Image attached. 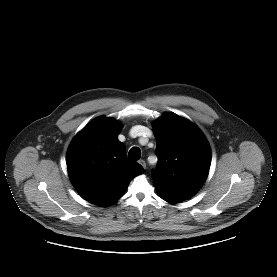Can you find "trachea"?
I'll return each mask as SVG.
<instances>
[{
    "label": "trachea",
    "instance_id": "trachea-1",
    "mask_svg": "<svg viewBox=\"0 0 277 277\" xmlns=\"http://www.w3.org/2000/svg\"><path fill=\"white\" fill-rule=\"evenodd\" d=\"M128 157L131 160H138L141 157V151L138 147H133L129 150Z\"/></svg>",
    "mask_w": 277,
    "mask_h": 277
}]
</instances>
